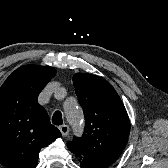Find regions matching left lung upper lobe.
<instances>
[{"mask_svg": "<svg viewBox=\"0 0 168 168\" xmlns=\"http://www.w3.org/2000/svg\"><path fill=\"white\" fill-rule=\"evenodd\" d=\"M73 84L84 111L85 128L82 137L67 142L68 149L78 157L109 167L128 142L126 109L112 85L100 77L77 73Z\"/></svg>", "mask_w": 168, "mask_h": 168, "instance_id": "1", "label": "left lung upper lobe"}]
</instances>
